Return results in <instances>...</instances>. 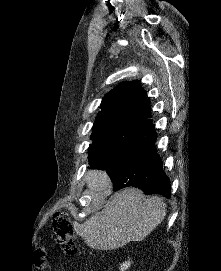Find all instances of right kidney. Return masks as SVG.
Returning a JSON list of instances; mask_svg holds the SVG:
<instances>
[{
  "instance_id": "right-kidney-1",
  "label": "right kidney",
  "mask_w": 221,
  "mask_h": 271,
  "mask_svg": "<svg viewBox=\"0 0 221 271\" xmlns=\"http://www.w3.org/2000/svg\"><path fill=\"white\" fill-rule=\"evenodd\" d=\"M131 267V261L130 259H126V261H123V263H120V271H126V269H129Z\"/></svg>"
}]
</instances>
